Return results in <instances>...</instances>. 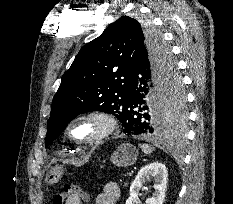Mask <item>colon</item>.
I'll return each instance as SVG.
<instances>
[{
  "mask_svg": "<svg viewBox=\"0 0 233 204\" xmlns=\"http://www.w3.org/2000/svg\"><path fill=\"white\" fill-rule=\"evenodd\" d=\"M87 197V194L79 187L65 184L63 191L53 197L52 204H82Z\"/></svg>",
  "mask_w": 233,
  "mask_h": 204,
  "instance_id": "colon-1",
  "label": "colon"
}]
</instances>
